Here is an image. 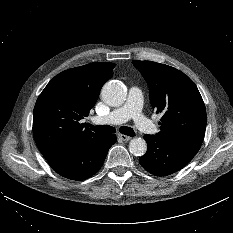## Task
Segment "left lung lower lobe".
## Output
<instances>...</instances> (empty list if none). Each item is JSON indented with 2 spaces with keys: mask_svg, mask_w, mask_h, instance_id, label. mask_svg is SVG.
<instances>
[{
  "mask_svg": "<svg viewBox=\"0 0 233 233\" xmlns=\"http://www.w3.org/2000/svg\"><path fill=\"white\" fill-rule=\"evenodd\" d=\"M147 152L139 158L142 167L156 176H166L186 166L200 146L163 140L156 135H145Z\"/></svg>",
  "mask_w": 233,
  "mask_h": 233,
  "instance_id": "0a47b994",
  "label": "left lung lower lobe"
}]
</instances>
